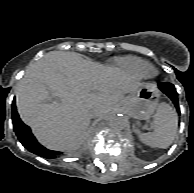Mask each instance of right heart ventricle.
Returning a JSON list of instances; mask_svg holds the SVG:
<instances>
[{"instance_id":"right-heart-ventricle-1","label":"right heart ventricle","mask_w":194,"mask_h":193,"mask_svg":"<svg viewBox=\"0 0 194 193\" xmlns=\"http://www.w3.org/2000/svg\"><path fill=\"white\" fill-rule=\"evenodd\" d=\"M115 63L125 74L135 79L147 78V73L152 68L149 62L134 56L117 58Z\"/></svg>"}]
</instances>
